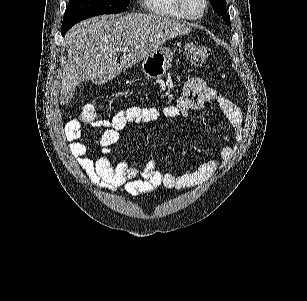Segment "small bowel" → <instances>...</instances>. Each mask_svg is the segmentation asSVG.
Instances as JSON below:
<instances>
[{
	"instance_id": "small-bowel-1",
	"label": "small bowel",
	"mask_w": 307,
	"mask_h": 301,
	"mask_svg": "<svg viewBox=\"0 0 307 301\" xmlns=\"http://www.w3.org/2000/svg\"><path fill=\"white\" fill-rule=\"evenodd\" d=\"M214 102L234 129V135L223 131L220 134L223 146L217 156L202 163L195 171L174 175L159 170L154 163L143 168L132 167L127 163L114 164L107 156L94 159L83 142V130L79 121L71 120L65 125L64 135L70 142L69 149L89 181L105 191L121 190L132 196L150 193L159 186L169 189H183L198 186L208 181L215 172L225 166L236 152L242 132V111L231 98L207 86L198 77H192L184 85V91L175 104L162 110L153 107L129 106L119 110L111 120L93 124L104 129L100 146L104 154H109L119 140L120 132L130 124L150 123L161 115L169 118L185 117L189 111L202 109L207 103Z\"/></svg>"
}]
</instances>
